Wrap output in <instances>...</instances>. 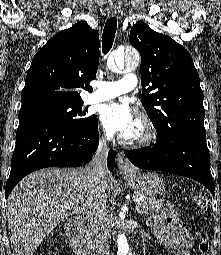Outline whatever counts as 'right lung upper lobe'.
<instances>
[{"label":"right lung upper lobe","mask_w":221,"mask_h":255,"mask_svg":"<svg viewBox=\"0 0 221 255\" xmlns=\"http://www.w3.org/2000/svg\"><path fill=\"white\" fill-rule=\"evenodd\" d=\"M97 30L80 21L52 38L34 56L21 94V109L45 103L83 101L80 89L92 91L99 63Z\"/></svg>","instance_id":"1"}]
</instances>
